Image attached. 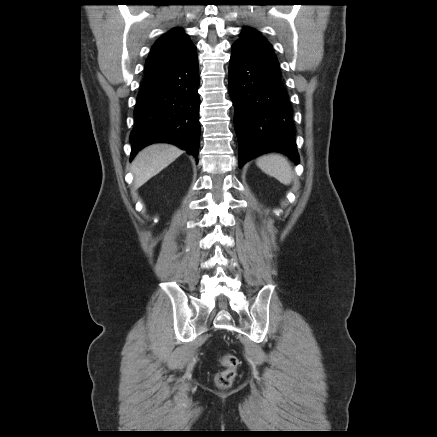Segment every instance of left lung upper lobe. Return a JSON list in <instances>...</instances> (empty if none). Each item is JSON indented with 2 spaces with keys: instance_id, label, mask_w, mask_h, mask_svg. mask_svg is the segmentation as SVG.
<instances>
[{
  "instance_id": "left-lung-upper-lobe-1",
  "label": "left lung upper lobe",
  "mask_w": 437,
  "mask_h": 437,
  "mask_svg": "<svg viewBox=\"0 0 437 437\" xmlns=\"http://www.w3.org/2000/svg\"><path fill=\"white\" fill-rule=\"evenodd\" d=\"M235 43L247 48L270 67L280 72L279 62L273 53L272 46L255 29L244 27L241 32V38Z\"/></svg>"
}]
</instances>
